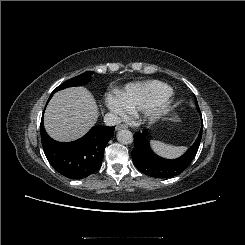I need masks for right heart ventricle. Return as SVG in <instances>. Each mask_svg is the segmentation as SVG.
<instances>
[{
    "label": "right heart ventricle",
    "mask_w": 245,
    "mask_h": 245,
    "mask_svg": "<svg viewBox=\"0 0 245 245\" xmlns=\"http://www.w3.org/2000/svg\"><path fill=\"white\" fill-rule=\"evenodd\" d=\"M169 85L158 80L133 83L127 85L118 95L129 112L142 109L156 101L171 95Z\"/></svg>",
    "instance_id": "e07e8e85"
}]
</instances>
